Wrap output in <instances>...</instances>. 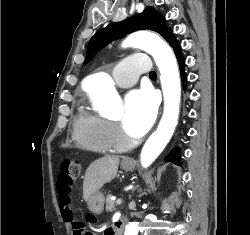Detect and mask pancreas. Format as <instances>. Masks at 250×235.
Here are the masks:
<instances>
[{
  "instance_id": "1",
  "label": "pancreas",
  "mask_w": 250,
  "mask_h": 235,
  "mask_svg": "<svg viewBox=\"0 0 250 235\" xmlns=\"http://www.w3.org/2000/svg\"><path fill=\"white\" fill-rule=\"evenodd\" d=\"M115 208V202L111 199V195H108L106 198V210L108 212L113 211Z\"/></svg>"
}]
</instances>
